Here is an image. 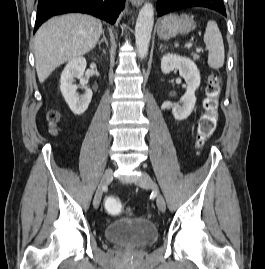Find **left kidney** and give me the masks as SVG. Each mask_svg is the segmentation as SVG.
Returning <instances> with one entry per match:
<instances>
[{"mask_svg":"<svg viewBox=\"0 0 265 269\" xmlns=\"http://www.w3.org/2000/svg\"><path fill=\"white\" fill-rule=\"evenodd\" d=\"M175 69L179 70L180 76L187 84L186 93L181 97L180 102L172 108L174 118L182 121L187 119L194 109L196 103L195 91L200 86L201 77L196 64L192 60L167 53L161 59V70L164 74H169Z\"/></svg>","mask_w":265,"mask_h":269,"instance_id":"5707ae66","label":"left kidney"}]
</instances>
